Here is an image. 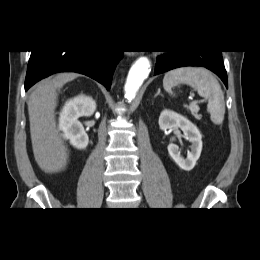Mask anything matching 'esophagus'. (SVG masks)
Returning a JSON list of instances; mask_svg holds the SVG:
<instances>
[{"label": "esophagus", "mask_w": 260, "mask_h": 260, "mask_svg": "<svg viewBox=\"0 0 260 260\" xmlns=\"http://www.w3.org/2000/svg\"><path fill=\"white\" fill-rule=\"evenodd\" d=\"M129 55H134V53H129Z\"/></svg>", "instance_id": "34e87169"}]
</instances>
